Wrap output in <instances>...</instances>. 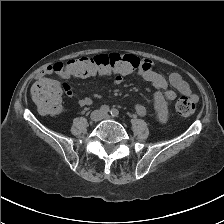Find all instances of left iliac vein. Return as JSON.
I'll use <instances>...</instances> for the list:
<instances>
[{
	"instance_id": "1",
	"label": "left iliac vein",
	"mask_w": 224,
	"mask_h": 224,
	"mask_svg": "<svg viewBox=\"0 0 224 224\" xmlns=\"http://www.w3.org/2000/svg\"><path fill=\"white\" fill-rule=\"evenodd\" d=\"M102 118H103V119H109V118H110V115H108V114H103Z\"/></svg>"
}]
</instances>
